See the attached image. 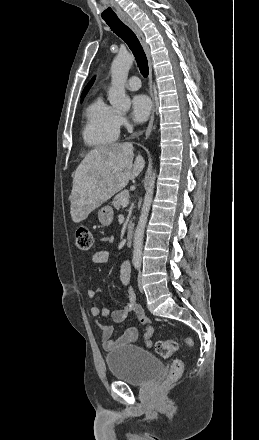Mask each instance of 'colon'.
I'll use <instances>...</instances> for the list:
<instances>
[{"label": "colon", "mask_w": 259, "mask_h": 440, "mask_svg": "<svg viewBox=\"0 0 259 440\" xmlns=\"http://www.w3.org/2000/svg\"><path fill=\"white\" fill-rule=\"evenodd\" d=\"M75 243L79 250L88 251L93 246V235L87 227H79L75 233ZM185 343L192 345V341L186 338ZM179 348V343L173 339L160 340L156 344L157 353L164 357H171ZM183 372V363L180 359L172 361L169 373L168 381L173 382L177 380Z\"/></svg>", "instance_id": "1"}]
</instances>
